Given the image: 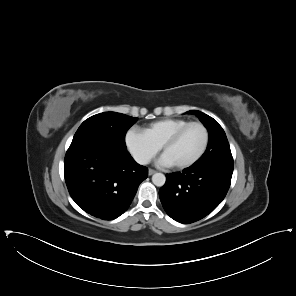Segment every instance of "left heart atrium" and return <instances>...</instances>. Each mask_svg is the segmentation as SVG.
<instances>
[{
  "label": "left heart atrium",
  "mask_w": 296,
  "mask_h": 296,
  "mask_svg": "<svg viewBox=\"0 0 296 296\" xmlns=\"http://www.w3.org/2000/svg\"><path fill=\"white\" fill-rule=\"evenodd\" d=\"M158 164L162 165V166H171L173 165V163L166 157L165 154H163L159 160H158Z\"/></svg>",
  "instance_id": "39dd6f15"
}]
</instances>
